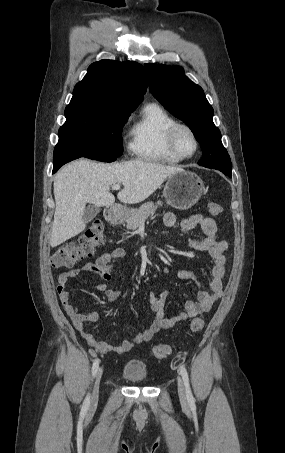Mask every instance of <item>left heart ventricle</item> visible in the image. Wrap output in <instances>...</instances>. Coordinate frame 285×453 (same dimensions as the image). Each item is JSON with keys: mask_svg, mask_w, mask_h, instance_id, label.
Instances as JSON below:
<instances>
[{"mask_svg": "<svg viewBox=\"0 0 285 453\" xmlns=\"http://www.w3.org/2000/svg\"><path fill=\"white\" fill-rule=\"evenodd\" d=\"M177 146L182 153L191 154L195 144L190 134L185 130H181L177 135Z\"/></svg>", "mask_w": 285, "mask_h": 453, "instance_id": "b2bd125f", "label": "left heart ventricle"}]
</instances>
